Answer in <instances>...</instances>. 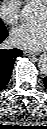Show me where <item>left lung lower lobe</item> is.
Wrapping results in <instances>:
<instances>
[{"mask_svg": "<svg viewBox=\"0 0 47 129\" xmlns=\"http://www.w3.org/2000/svg\"><path fill=\"white\" fill-rule=\"evenodd\" d=\"M44 85L47 88V77L44 78Z\"/></svg>", "mask_w": 47, "mask_h": 129, "instance_id": "obj_1", "label": "left lung lower lobe"}]
</instances>
